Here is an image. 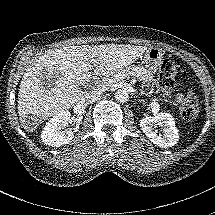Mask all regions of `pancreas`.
<instances>
[{
  "label": "pancreas",
  "mask_w": 215,
  "mask_h": 215,
  "mask_svg": "<svg viewBox=\"0 0 215 215\" xmlns=\"http://www.w3.org/2000/svg\"><path fill=\"white\" fill-rule=\"evenodd\" d=\"M112 74H114L116 79H120L121 77L126 78L128 75L137 77L139 80L142 81V86L146 90H149L151 93H153L154 91L155 77L150 71L146 70L142 65H132L130 67H127L120 73V75H118L117 72H114Z\"/></svg>",
  "instance_id": "1"
}]
</instances>
